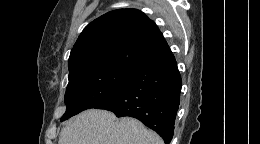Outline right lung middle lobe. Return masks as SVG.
<instances>
[{
    "mask_svg": "<svg viewBox=\"0 0 260 144\" xmlns=\"http://www.w3.org/2000/svg\"><path fill=\"white\" fill-rule=\"evenodd\" d=\"M135 70L112 65H95L69 74L65 93L64 121L83 110L94 108L119 90Z\"/></svg>",
    "mask_w": 260,
    "mask_h": 144,
    "instance_id": "obj_1",
    "label": "right lung middle lobe"
}]
</instances>
